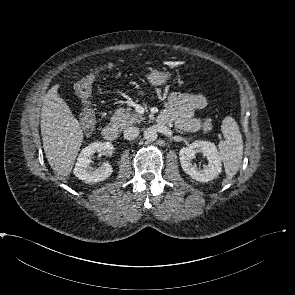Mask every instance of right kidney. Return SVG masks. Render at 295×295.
<instances>
[{
	"label": "right kidney",
	"mask_w": 295,
	"mask_h": 295,
	"mask_svg": "<svg viewBox=\"0 0 295 295\" xmlns=\"http://www.w3.org/2000/svg\"><path fill=\"white\" fill-rule=\"evenodd\" d=\"M113 145L110 142H93L86 146L79 154L77 163L75 164V176L85 183H97L106 180L113 172L112 166L108 162H104L97 168L91 167L92 156L95 152L103 155H111L113 153Z\"/></svg>",
	"instance_id": "ca27d5eb"
}]
</instances>
